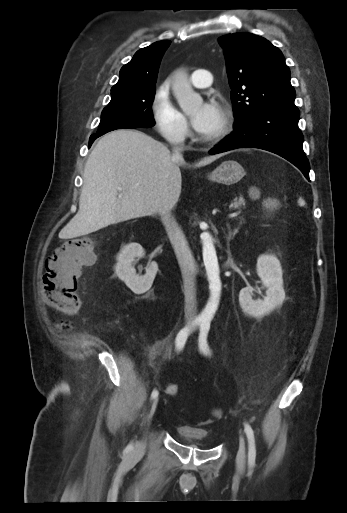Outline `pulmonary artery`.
<instances>
[{"instance_id": "1", "label": "pulmonary artery", "mask_w": 347, "mask_h": 513, "mask_svg": "<svg viewBox=\"0 0 347 513\" xmlns=\"http://www.w3.org/2000/svg\"><path fill=\"white\" fill-rule=\"evenodd\" d=\"M191 82L197 88H206L212 82V74L204 69L195 70L191 75Z\"/></svg>"}]
</instances>
